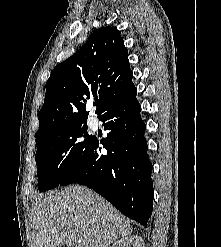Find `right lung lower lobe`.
<instances>
[{
  "instance_id": "obj_1",
  "label": "right lung lower lobe",
  "mask_w": 221,
  "mask_h": 247,
  "mask_svg": "<svg viewBox=\"0 0 221 247\" xmlns=\"http://www.w3.org/2000/svg\"><path fill=\"white\" fill-rule=\"evenodd\" d=\"M134 89L98 117L107 137L91 138L82 156L60 182L92 188L121 213L147 227L153 207L152 164L144 137L146 125ZM107 153L100 152L101 148Z\"/></svg>"
}]
</instances>
